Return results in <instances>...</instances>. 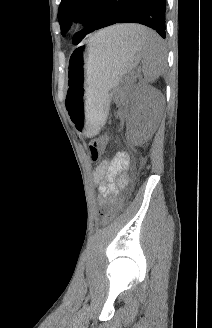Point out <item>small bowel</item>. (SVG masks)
Wrapping results in <instances>:
<instances>
[{
  "instance_id": "1",
  "label": "small bowel",
  "mask_w": 212,
  "mask_h": 328,
  "mask_svg": "<svg viewBox=\"0 0 212 328\" xmlns=\"http://www.w3.org/2000/svg\"><path fill=\"white\" fill-rule=\"evenodd\" d=\"M129 157L125 152L116 153L111 159L102 161L94 170V181L104 204L114 202V196L127 184Z\"/></svg>"
}]
</instances>
